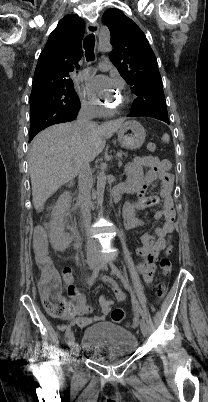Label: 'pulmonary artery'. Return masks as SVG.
<instances>
[{"instance_id": "e3ab8cb5", "label": "pulmonary artery", "mask_w": 208, "mask_h": 402, "mask_svg": "<svg viewBox=\"0 0 208 402\" xmlns=\"http://www.w3.org/2000/svg\"><path fill=\"white\" fill-rule=\"evenodd\" d=\"M99 69H100L101 71H108V70L110 69L109 62L106 61V60H101V61H100ZM76 73H77L78 75H81V74H82L83 76H88V75L90 74V69H89L88 67H83L82 69H81V68H78V69L76 70Z\"/></svg>"}]
</instances>
